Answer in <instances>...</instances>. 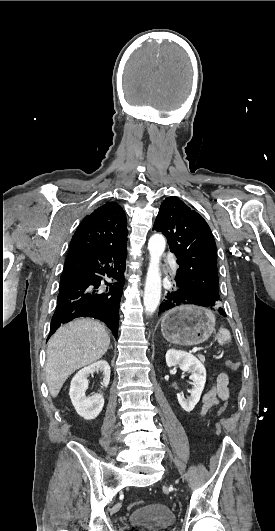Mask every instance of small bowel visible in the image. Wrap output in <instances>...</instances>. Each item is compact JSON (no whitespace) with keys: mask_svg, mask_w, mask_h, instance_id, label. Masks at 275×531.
I'll return each mask as SVG.
<instances>
[{"mask_svg":"<svg viewBox=\"0 0 275 531\" xmlns=\"http://www.w3.org/2000/svg\"><path fill=\"white\" fill-rule=\"evenodd\" d=\"M230 397L229 376L225 372L219 373L210 388L202 397L200 417L205 416L219 401Z\"/></svg>","mask_w":275,"mask_h":531,"instance_id":"small-bowel-1","label":"small bowel"}]
</instances>
